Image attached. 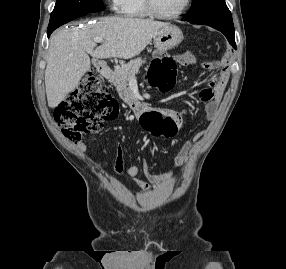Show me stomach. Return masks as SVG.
Segmentation results:
<instances>
[{"label":"stomach","mask_w":286,"mask_h":269,"mask_svg":"<svg viewBox=\"0 0 286 269\" xmlns=\"http://www.w3.org/2000/svg\"><path fill=\"white\" fill-rule=\"evenodd\" d=\"M183 40V34L179 27L169 24L160 29L154 36L155 49H170L178 46Z\"/></svg>","instance_id":"stomach-1"}]
</instances>
